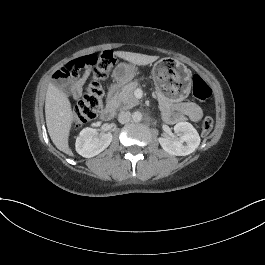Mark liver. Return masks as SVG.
Returning a JSON list of instances; mask_svg holds the SVG:
<instances>
[{"mask_svg":"<svg viewBox=\"0 0 265 265\" xmlns=\"http://www.w3.org/2000/svg\"><path fill=\"white\" fill-rule=\"evenodd\" d=\"M113 55L137 67L147 66L159 59V56L125 51H114ZM45 119L48 134L54 146L69 157H74V153L69 146V137L75 119V112L66 91L52 81L49 83L46 92Z\"/></svg>","mask_w":265,"mask_h":265,"instance_id":"liver-1","label":"liver"}]
</instances>
